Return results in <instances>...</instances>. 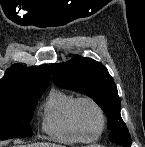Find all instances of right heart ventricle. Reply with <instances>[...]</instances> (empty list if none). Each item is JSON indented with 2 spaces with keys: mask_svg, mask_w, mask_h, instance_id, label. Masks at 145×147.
Masks as SVG:
<instances>
[{
  "mask_svg": "<svg viewBox=\"0 0 145 147\" xmlns=\"http://www.w3.org/2000/svg\"><path fill=\"white\" fill-rule=\"evenodd\" d=\"M78 98L62 89H52L49 92L42 107L41 126L45 134L62 143L90 142L98 138L78 128L74 119Z\"/></svg>",
  "mask_w": 145,
  "mask_h": 147,
  "instance_id": "obj_1",
  "label": "right heart ventricle"
}]
</instances>
